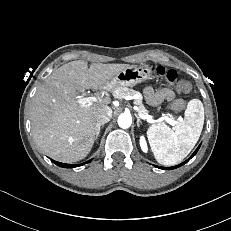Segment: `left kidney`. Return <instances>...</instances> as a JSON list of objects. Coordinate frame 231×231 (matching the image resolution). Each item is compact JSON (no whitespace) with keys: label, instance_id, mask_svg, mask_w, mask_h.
Segmentation results:
<instances>
[{"label":"left kidney","instance_id":"obj_1","mask_svg":"<svg viewBox=\"0 0 231 231\" xmlns=\"http://www.w3.org/2000/svg\"><path fill=\"white\" fill-rule=\"evenodd\" d=\"M140 146L143 152H148V145L144 136L140 137Z\"/></svg>","mask_w":231,"mask_h":231}]
</instances>
